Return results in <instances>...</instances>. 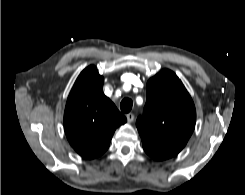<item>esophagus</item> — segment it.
Segmentation results:
<instances>
[{"mask_svg":"<svg viewBox=\"0 0 245 195\" xmlns=\"http://www.w3.org/2000/svg\"><path fill=\"white\" fill-rule=\"evenodd\" d=\"M126 118H127V121H128L129 123H131V122L134 120V114L128 113V114L126 115Z\"/></svg>","mask_w":245,"mask_h":195,"instance_id":"esophagus-1","label":"esophagus"}]
</instances>
